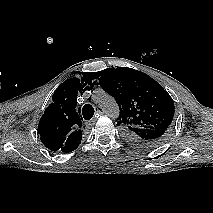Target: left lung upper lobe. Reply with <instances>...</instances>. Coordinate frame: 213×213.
I'll return each instance as SVG.
<instances>
[{
  "instance_id": "1",
  "label": "left lung upper lobe",
  "mask_w": 213,
  "mask_h": 213,
  "mask_svg": "<svg viewBox=\"0 0 213 213\" xmlns=\"http://www.w3.org/2000/svg\"><path fill=\"white\" fill-rule=\"evenodd\" d=\"M100 86L116 99L117 125L131 144L152 148L170 135L175 106L166 90L149 75L127 67L98 72Z\"/></svg>"
}]
</instances>
